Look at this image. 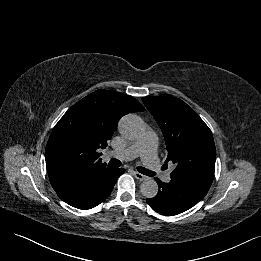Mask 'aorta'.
Returning a JSON list of instances; mask_svg holds the SVG:
<instances>
[{"instance_id":"aorta-1","label":"aorta","mask_w":261,"mask_h":261,"mask_svg":"<svg viewBox=\"0 0 261 261\" xmlns=\"http://www.w3.org/2000/svg\"><path fill=\"white\" fill-rule=\"evenodd\" d=\"M118 128L120 134L129 140L139 138L144 131L141 118L133 114L124 116L120 120ZM140 192L146 198H154L158 193V184L152 178H147L141 183Z\"/></svg>"}]
</instances>
